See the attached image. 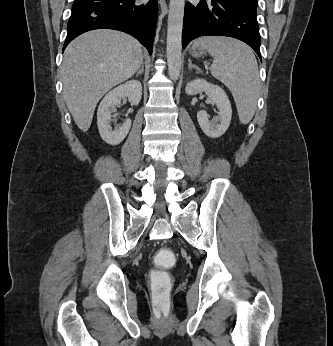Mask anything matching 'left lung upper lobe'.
<instances>
[{"label":"left lung upper lobe","mask_w":333,"mask_h":346,"mask_svg":"<svg viewBox=\"0 0 333 346\" xmlns=\"http://www.w3.org/2000/svg\"><path fill=\"white\" fill-rule=\"evenodd\" d=\"M235 5L242 6L256 13L257 0H231Z\"/></svg>","instance_id":"5c2ea615"}]
</instances>
